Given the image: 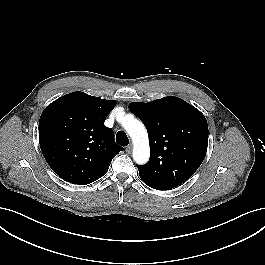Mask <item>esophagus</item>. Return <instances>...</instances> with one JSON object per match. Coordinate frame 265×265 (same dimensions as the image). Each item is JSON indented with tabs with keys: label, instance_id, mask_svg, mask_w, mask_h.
I'll use <instances>...</instances> for the list:
<instances>
[{
	"label": "esophagus",
	"instance_id": "obj_1",
	"mask_svg": "<svg viewBox=\"0 0 265 265\" xmlns=\"http://www.w3.org/2000/svg\"><path fill=\"white\" fill-rule=\"evenodd\" d=\"M131 151H132V144H130V145H128V146L126 147V153L130 154Z\"/></svg>",
	"mask_w": 265,
	"mask_h": 265
}]
</instances>
